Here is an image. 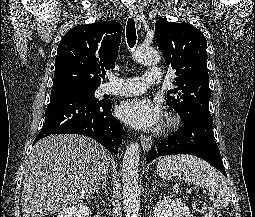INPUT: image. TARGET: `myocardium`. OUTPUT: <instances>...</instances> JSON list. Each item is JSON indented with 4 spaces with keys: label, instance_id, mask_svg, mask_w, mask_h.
<instances>
[{
    "label": "myocardium",
    "instance_id": "obj_1",
    "mask_svg": "<svg viewBox=\"0 0 255 217\" xmlns=\"http://www.w3.org/2000/svg\"><path fill=\"white\" fill-rule=\"evenodd\" d=\"M181 123L180 118L177 115H170L168 118V127L169 128H177Z\"/></svg>",
    "mask_w": 255,
    "mask_h": 217
}]
</instances>
